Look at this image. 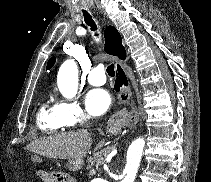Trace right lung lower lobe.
<instances>
[{
  "mask_svg": "<svg viewBox=\"0 0 211 182\" xmlns=\"http://www.w3.org/2000/svg\"><path fill=\"white\" fill-rule=\"evenodd\" d=\"M126 57V53L124 52L122 54L121 57H119L120 59L124 60ZM117 79L115 81V90L116 91H120V87L122 85H125L127 86L128 85V82H127V78H126V75L124 73V71L121 69V67L119 65H117Z\"/></svg>",
  "mask_w": 211,
  "mask_h": 182,
  "instance_id": "1",
  "label": "right lung lower lobe"
}]
</instances>
